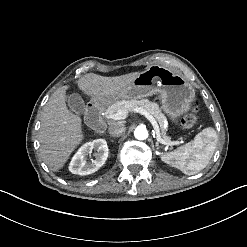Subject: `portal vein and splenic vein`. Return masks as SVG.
<instances>
[{
	"label": "portal vein and splenic vein",
	"mask_w": 247,
	"mask_h": 247,
	"mask_svg": "<svg viewBox=\"0 0 247 247\" xmlns=\"http://www.w3.org/2000/svg\"><path fill=\"white\" fill-rule=\"evenodd\" d=\"M132 111L144 115L151 122V124L153 125L154 130L157 133V140L159 142H161L162 144H167V145H171L172 144L173 145V144L181 143V144H186L188 146V144L187 143H183L182 140H178L176 143L174 141L172 143H166L165 141H162V139L160 137V134H159V126H158V123H157L156 119L154 118V116L151 115L149 112H147L142 107H136ZM127 115H128V110L127 109H120V110L117 111V113L110 114L107 118L113 119V120H122V119H125L127 117Z\"/></svg>",
	"instance_id": "portal-vein-and-splenic-vein-1"
}]
</instances>
